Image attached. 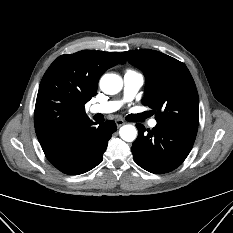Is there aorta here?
<instances>
[{"label":"aorta","instance_id":"aorta-1","mask_svg":"<svg viewBox=\"0 0 233 233\" xmlns=\"http://www.w3.org/2000/svg\"><path fill=\"white\" fill-rule=\"evenodd\" d=\"M123 86V81L120 76L116 74H105L100 80L101 90L109 95H114L120 92ZM120 137L127 142H132L136 139L137 131L136 128L131 125H124L119 131Z\"/></svg>","mask_w":233,"mask_h":233}]
</instances>
